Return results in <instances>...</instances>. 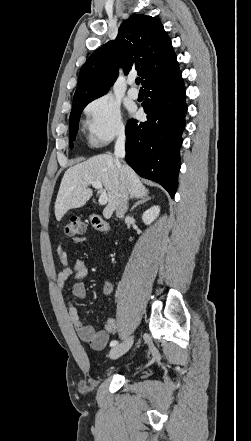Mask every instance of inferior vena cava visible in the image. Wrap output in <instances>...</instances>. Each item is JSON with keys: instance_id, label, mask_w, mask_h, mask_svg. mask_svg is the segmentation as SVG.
<instances>
[{"instance_id": "inferior-vena-cava-1", "label": "inferior vena cava", "mask_w": 251, "mask_h": 441, "mask_svg": "<svg viewBox=\"0 0 251 441\" xmlns=\"http://www.w3.org/2000/svg\"><path fill=\"white\" fill-rule=\"evenodd\" d=\"M114 155H115V161L117 165L120 168V179H121V193H120V199L116 208V216L119 218H122L127 209H128V199H129V192H128V184L125 180V174L124 169L119 161L120 158L125 157V135L124 132L119 133L115 148H114Z\"/></svg>"}]
</instances>
